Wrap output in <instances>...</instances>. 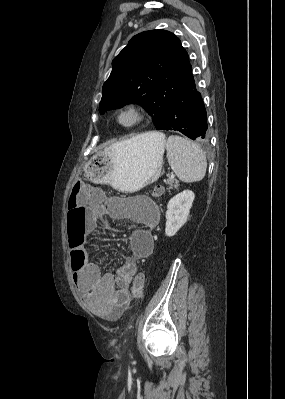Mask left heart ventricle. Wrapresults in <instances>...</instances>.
<instances>
[{
    "mask_svg": "<svg viewBox=\"0 0 285 399\" xmlns=\"http://www.w3.org/2000/svg\"><path fill=\"white\" fill-rule=\"evenodd\" d=\"M133 120V117L131 115H126L123 117V122L124 123H130Z\"/></svg>",
    "mask_w": 285,
    "mask_h": 399,
    "instance_id": "b2bd125f",
    "label": "left heart ventricle"
}]
</instances>
